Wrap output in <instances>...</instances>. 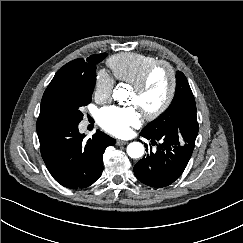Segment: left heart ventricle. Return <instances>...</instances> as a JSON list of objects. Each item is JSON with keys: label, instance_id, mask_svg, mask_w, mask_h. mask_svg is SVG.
Instances as JSON below:
<instances>
[{"label": "left heart ventricle", "instance_id": "left-heart-ventricle-1", "mask_svg": "<svg viewBox=\"0 0 243 243\" xmlns=\"http://www.w3.org/2000/svg\"><path fill=\"white\" fill-rule=\"evenodd\" d=\"M169 83L168 72L164 67L156 68L150 75L141 92L133 88L130 91V103L144 110L155 105L166 93Z\"/></svg>", "mask_w": 243, "mask_h": 243}]
</instances>
